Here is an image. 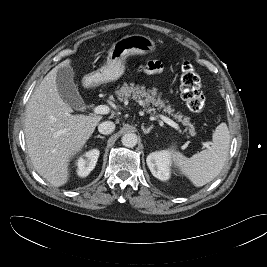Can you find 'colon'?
Wrapping results in <instances>:
<instances>
[{"mask_svg":"<svg viewBox=\"0 0 267 267\" xmlns=\"http://www.w3.org/2000/svg\"><path fill=\"white\" fill-rule=\"evenodd\" d=\"M180 91L187 107L194 113L205 109L206 100L201 90L200 78L190 62H185L181 68Z\"/></svg>","mask_w":267,"mask_h":267,"instance_id":"colon-1","label":"colon"}]
</instances>
